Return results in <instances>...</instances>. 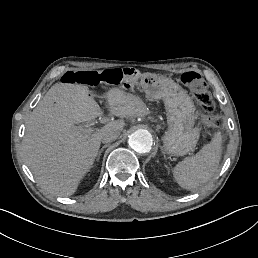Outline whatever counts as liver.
<instances>
[{
  "instance_id": "liver-1",
  "label": "liver",
  "mask_w": 258,
  "mask_h": 258,
  "mask_svg": "<svg viewBox=\"0 0 258 258\" xmlns=\"http://www.w3.org/2000/svg\"><path fill=\"white\" fill-rule=\"evenodd\" d=\"M89 93L84 85L55 84L26 121L24 160L38 184L50 194L72 195L99 150L102 130H120L123 126L120 121H112L98 132L80 131L75 124L103 114ZM108 102L115 116L148 114L139 97L123 95L118 90L109 92Z\"/></svg>"
}]
</instances>
